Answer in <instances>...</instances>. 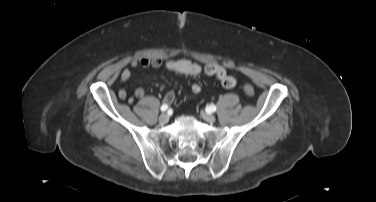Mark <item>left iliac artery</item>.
Here are the masks:
<instances>
[{"label": "left iliac artery", "mask_w": 376, "mask_h": 202, "mask_svg": "<svg viewBox=\"0 0 376 202\" xmlns=\"http://www.w3.org/2000/svg\"><path fill=\"white\" fill-rule=\"evenodd\" d=\"M208 109H209L211 112H215L216 109H217V107H216L215 105H210V106L208 107Z\"/></svg>", "instance_id": "44dca946"}]
</instances>
